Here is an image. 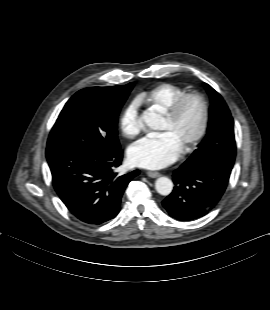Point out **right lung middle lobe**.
<instances>
[{"label": "right lung middle lobe", "instance_id": "obj_1", "mask_svg": "<svg viewBox=\"0 0 270 310\" xmlns=\"http://www.w3.org/2000/svg\"><path fill=\"white\" fill-rule=\"evenodd\" d=\"M133 83L125 88L90 87L74 94L53 126L47 147L74 146L96 151L120 149L117 118Z\"/></svg>", "mask_w": 270, "mask_h": 310}]
</instances>
